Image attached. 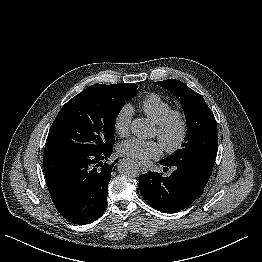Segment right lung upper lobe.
I'll return each mask as SVG.
<instances>
[{"label":"right lung upper lobe","instance_id":"right-lung-upper-lobe-1","mask_svg":"<svg viewBox=\"0 0 262 262\" xmlns=\"http://www.w3.org/2000/svg\"><path fill=\"white\" fill-rule=\"evenodd\" d=\"M115 85H117V84H112V85H110V86H115Z\"/></svg>","mask_w":262,"mask_h":262}]
</instances>
